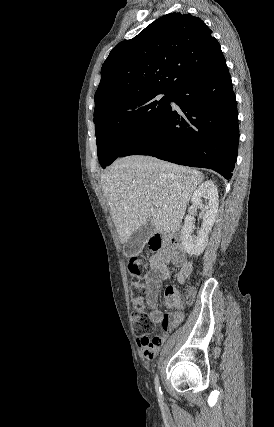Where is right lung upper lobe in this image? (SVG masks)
I'll return each mask as SVG.
<instances>
[{
	"label": "right lung upper lobe",
	"mask_w": 274,
	"mask_h": 427,
	"mask_svg": "<svg viewBox=\"0 0 274 427\" xmlns=\"http://www.w3.org/2000/svg\"><path fill=\"white\" fill-rule=\"evenodd\" d=\"M225 65L218 41L200 18L164 15L111 50L101 69L94 117L132 96L172 94Z\"/></svg>",
	"instance_id": "obj_1"
}]
</instances>
